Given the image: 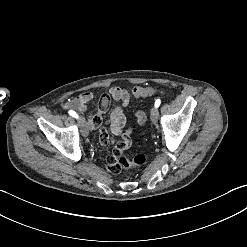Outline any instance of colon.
I'll return each mask as SVG.
<instances>
[{"mask_svg": "<svg viewBox=\"0 0 247 247\" xmlns=\"http://www.w3.org/2000/svg\"><path fill=\"white\" fill-rule=\"evenodd\" d=\"M156 89L148 85H135L132 88V95L136 98L147 97L155 94ZM148 162V155L145 153L136 154L133 159L130 156H125L120 160V165L123 168L132 169L133 165L143 166Z\"/></svg>", "mask_w": 247, "mask_h": 247, "instance_id": "colon-1", "label": "colon"}]
</instances>
